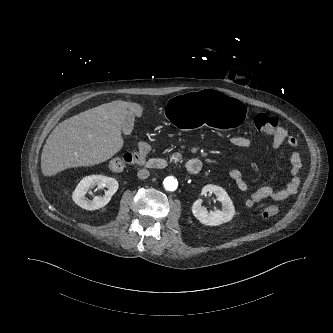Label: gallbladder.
Wrapping results in <instances>:
<instances>
[{"label": "gallbladder", "instance_id": "1", "mask_svg": "<svg viewBox=\"0 0 333 333\" xmlns=\"http://www.w3.org/2000/svg\"><path fill=\"white\" fill-rule=\"evenodd\" d=\"M134 115L128 113L122 123V131L125 135H130L134 127Z\"/></svg>", "mask_w": 333, "mask_h": 333}]
</instances>
